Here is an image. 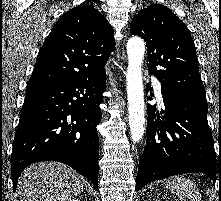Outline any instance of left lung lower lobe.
<instances>
[{"mask_svg":"<svg viewBox=\"0 0 221 201\" xmlns=\"http://www.w3.org/2000/svg\"><path fill=\"white\" fill-rule=\"evenodd\" d=\"M152 90L148 83L146 93ZM161 93L165 110L160 115L155 105H147V140L139 162L137 190L181 173L201 172L215 183L218 160L207 122L206 98L162 89Z\"/></svg>","mask_w":221,"mask_h":201,"instance_id":"0a47b994","label":"left lung lower lobe"}]
</instances>
